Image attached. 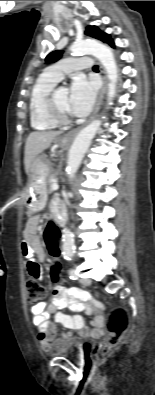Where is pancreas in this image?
<instances>
[{
  "instance_id": "1",
  "label": "pancreas",
  "mask_w": 155,
  "mask_h": 395,
  "mask_svg": "<svg viewBox=\"0 0 155 395\" xmlns=\"http://www.w3.org/2000/svg\"><path fill=\"white\" fill-rule=\"evenodd\" d=\"M54 182H57V179H56L55 176H50V177L47 179L46 184H47V187H48V189H47L48 193H52V192H53V189L51 188V186H52V184H53Z\"/></svg>"
}]
</instances>
